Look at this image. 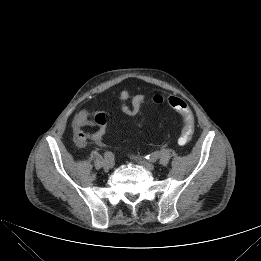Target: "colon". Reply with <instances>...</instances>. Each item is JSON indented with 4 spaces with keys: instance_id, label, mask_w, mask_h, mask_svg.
I'll list each match as a JSON object with an SVG mask.
<instances>
[{
    "instance_id": "5ec220e1",
    "label": "colon",
    "mask_w": 261,
    "mask_h": 261,
    "mask_svg": "<svg viewBox=\"0 0 261 261\" xmlns=\"http://www.w3.org/2000/svg\"><path fill=\"white\" fill-rule=\"evenodd\" d=\"M153 102L156 104H166L182 115L183 123L178 143L181 146L188 144L194 133V119L187 103L177 96H169L165 98L160 95L154 96Z\"/></svg>"
}]
</instances>
